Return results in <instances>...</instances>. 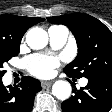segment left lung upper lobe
I'll use <instances>...</instances> for the list:
<instances>
[{"instance_id": "5c2ea615", "label": "left lung upper lobe", "mask_w": 112, "mask_h": 112, "mask_svg": "<svg viewBox=\"0 0 112 112\" xmlns=\"http://www.w3.org/2000/svg\"><path fill=\"white\" fill-rule=\"evenodd\" d=\"M66 25L76 38L78 55L64 71L74 78L112 76V32L98 19L83 13L47 17Z\"/></svg>"}]
</instances>
